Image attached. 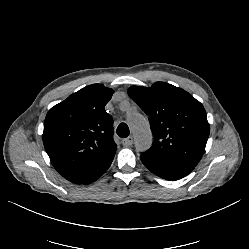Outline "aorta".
Returning <instances> with one entry per match:
<instances>
[{"mask_svg": "<svg viewBox=\"0 0 249 249\" xmlns=\"http://www.w3.org/2000/svg\"><path fill=\"white\" fill-rule=\"evenodd\" d=\"M128 122L134 137V144L137 151L147 150L152 144V132L148 121L140 114L129 115Z\"/></svg>", "mask_w": 249, "mask_h": 249, "instance_id": "obj_1", "label": "aorta"}]
</instances>
